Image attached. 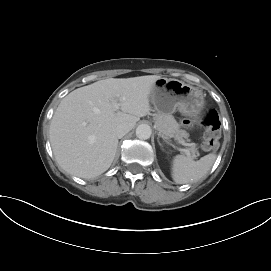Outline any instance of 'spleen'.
<instances>
[{
    "mask_svg": "<svg viewBox=\"0 0 271 271\" xmlns=\"http://www.w3.org/2000/svg\"><path fill=\"white\" fill-rule=\"evenodd\" d=\"M216 154L210 153L200 160L177 155L172 161V178L177 184L196 182L203 178L213 166Z\"/></svg>",
    "mask_w": 271,
    "mask_h": 271,
    "instance_id": "spleen-1",
    "label": "spleen"
}]
</instances>
